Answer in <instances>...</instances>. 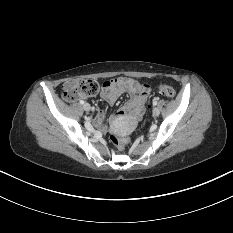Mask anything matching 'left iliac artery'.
I'll return each mask as SVG.
<instances>
[{
    "mask_svg": "<svg viewBox=\"0 0 233 233\" xmlns=\"http://www.w3.org/2000/svg\"><path fill=\"white\" fill-rule=\"evenodd\" d=\"M153 105H157V101L155 100V101H153Z\"/></svg>",
    "mask_w": 233,
    "mask_h": 233,
    "instance_id": "obj_1",
    "label": "left iliac artery"
}]
</instances>
